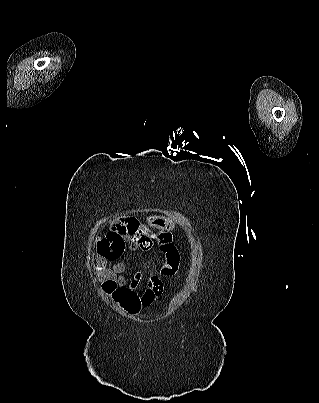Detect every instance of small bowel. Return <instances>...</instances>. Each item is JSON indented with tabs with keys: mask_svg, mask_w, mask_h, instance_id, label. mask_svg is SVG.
Wrapping results in <instances>:
<instances>
[{
	"mask_svg": "<svg viewBox=\"0 0 319 403\" xmlns=\"http://www.w3.org/2000/svg\"><path fill=\"white\" fill-rule=\"evenodd\" d=\"M97 250L93 256L92 267L96 277L105 282L106 293L112 294L118 307L132 314H138L143 307L155 304L161 297L163 288L170 286L182 257L173 244L171 234L152 231L129 220L127 213H120L110 229L97 232ZM156 250L157 272L147 280V288L142 295L136 290L142 278L136 273L126 280L121 276L124 264L121 258L128 250Z\"/></svg>",
	"mask_w": 319,
	"mask_h": 403,
	"instance_id": "1",
	"label": "small bowel"
}]
</instances>
